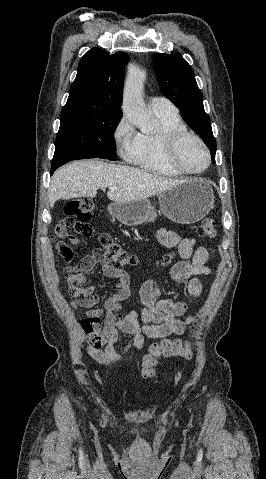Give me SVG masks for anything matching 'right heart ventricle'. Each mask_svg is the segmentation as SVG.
<instances>
[{"label":"right heart ventricle","mask_w":266,"mask_h":479,"mask_svg":"<svg viewBox=\"0 0 266 479\" xmlns=\"http://www.w3.org/2000/svg\"><path fill=\"white\" fill-rule=\"evenodd\" d=\"M155 113V112H154ZM160 130L153 134H139L138 151L133 163L144 171L167 177H177L182 173L174 169L165 159L164 134L173 130H186V126L177 113H155Z\"/></svg>","instance_id":"right-heart-ventricle-1"}]
</instances>
